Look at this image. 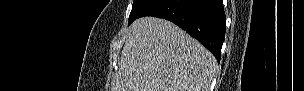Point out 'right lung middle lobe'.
Instances as JSON below:
<instances>
[{
    "label": "right lung middle lobe",
    "mask_w": 304,
    "mask_h": 91,
    "mask_svg": "<svg viewBox=\"0 0 304 91\" xmlns=\"http://www.w3.org/2000/svg\"><path fill=\"white\" fill-rule=\"evenodd\" d=\"M150 2V0H134L132 10L129 16V24H131L140 14L141 10Z\"/></svg>",
    "instance_id": "1"
}]
</instances>
